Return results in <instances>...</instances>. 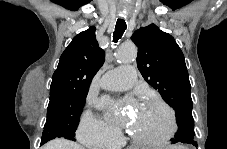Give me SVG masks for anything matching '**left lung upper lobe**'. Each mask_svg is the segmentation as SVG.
Segmentation results:
<instances>
[{"label": "left lung upper lobe", "instance_id": "obj_1", "mask_svg": "<svg viewBox=\"0 0 227 149\" xmlns=\"http://www.w3.org/2000/svg\"><path fill=\"white\" fill-rule=\"evenodd\" d=\"M131 39L138 47L137 65L143 78L175 110V136L195 135L188 71L176 41L155 24L135 31Z\"/></svg>", "mask_w": 227, "mask_h": 149}]
</instances>
